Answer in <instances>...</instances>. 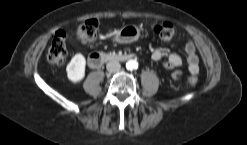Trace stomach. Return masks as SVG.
<instances>
[{
    "label": "stomach",
    "mask_w": 247,
    "mask_h": 145,
    "mask_svg": "<svg viewBox=\"0 0 247 145\" xmlns=\"http://www.w3.org/2000/svg\"><path fill=\"white\" fill-rule=\"evenodd\" d=\"M140 29L136 25L122 27L115 35L114 41L118 43H132L139 39Z\"/></svg>",
    "instance_id": "1"
}]
</instances>
